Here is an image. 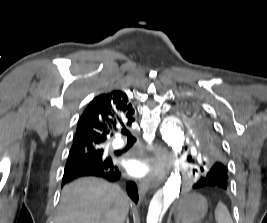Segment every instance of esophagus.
<instances>
[{
    "mask_svg": "<svg viewBox=\"0 0 267 223\" xmlns=\"http://www.w3.org/2000/svg\"><path fill=\"white\" fill-rule=\"evenodd\" d=\"M171 154L163 148L162 146H158L155 150V154L152 158L153 171L150 177V181L146 183H141L139 185V193L140 195H145L146 191L151 187V182L153 183L155 179L158 181L165 178V176L169 172V164L171 161Z\"/></svg>",
    "mask_w": 267,
    "mask_h": 223,
    "instance_id": "obj_1",
    "label": "esophagus"
}]
</instances>
